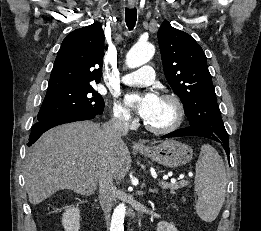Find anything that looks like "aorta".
<instances>
[{"instance_id":"762f6f07","label":"aorta","mask_w":261,"mask_h":231,"mask_svg":"<svg viewBox=\"0 0 261 231\" xmlns=\"http://www.w3.org/2000/svg\"><path fill=\"white\" fill-rule=\"evenodd\" d=\"M154 46L147 42L135 44L126 55V64L129 68H137L147 63L154 55ZM126 206L119 204L112 216L111 231H124Z\"/></svg>"}]
</instances>
